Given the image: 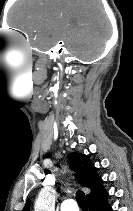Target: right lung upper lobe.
I'll list each match as a JSON object with an SVG mask.
<instances>
[{"label":"right lung upper lobe","instance_id":"obj_1","mask_svg":"<svg viewBox=\"0 0 133 211\" xmlns=\"http://www.w3.org/2000/svg\"><path fill=\"white\" fill-rule=\"evenodd\" d=\"M69 165L76 172L78 183L91 190L87 195L88 204L98 202L108 196V192L103 187V180L87 155L72 153L69 156ZM23 211H29V201L26 202Z\"/></svg>","mask_w":133,"mask_h":211}]
</instances>
